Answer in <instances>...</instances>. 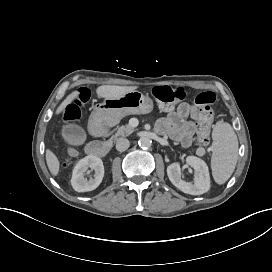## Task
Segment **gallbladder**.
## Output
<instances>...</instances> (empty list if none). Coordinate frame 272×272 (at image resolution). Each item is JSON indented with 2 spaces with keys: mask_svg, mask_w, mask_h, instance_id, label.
<instances>
[{
  "mask_svg": "<svg viewBox=\"0 0 272 272\" xmlns=\"http://www.w3.org/2000/svg\"><path fill=\"white\" fill-rule=\"evenodd\" d=\"M63 134L70 138L71 144H78L84 139V132L77 125L65 127Z\"/></svg>",
  "mask_w": 272,
  "mask_h": 272,
  "instance_id": "obj_1",
  "label": "gallbladder"
}]
</instances>
